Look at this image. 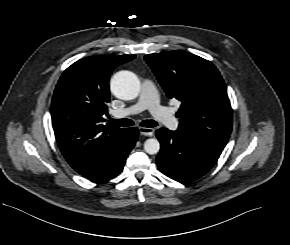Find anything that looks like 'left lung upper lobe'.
Segmentation results:
<instances>
[{"label": "left lung upper lobe", "mask_w": 290, "mask_h": 245, "mask_svg": "<svg viewBox=\"0 0 290 245\" xmlns=\"http://www.w3.org/2000/svg\"><path fill=\"white\" fill-rule=\"evenodd\" d=\"M144 59L167 97L181 102L177 131L224 148L232 130V109L218 69L185 51L153 53Z\"/></svg>", "instance_id": "1"}]
</instances>
